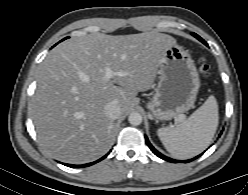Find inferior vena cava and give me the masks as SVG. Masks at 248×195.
Listing matches in <instances>:
<instances>
[{"instance_id":"1","label":"inferior vena cava","mask_w":248,"mask_h":195,"mask_svg":"<svg viewBox=\"0 0 248 195\" xmlns=\"http://www.w3.org/2000/svg\"><path fill=\"white\" fill-rule=\"evenodd\" d=\"M104 114L108 118L115 120L121 115V107L116 101L108 102L104 107Z\"/></svg>"}]
</instances>
